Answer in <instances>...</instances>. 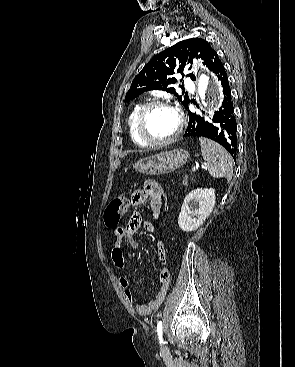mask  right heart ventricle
Wrapping results in <instances>:
<instances>
[{
    "mask_svg": "<svg viewBox=\"0 0 295 367\" xmlns=\"http://www.w3.org/2000/svg\"><path fill=\"white\" fill-rule=\"evenodd\" d=\"M144 106L143 103H137L130 111L127 119V125H128V132L130 135L131 140L139 147H147L148 145L144 143L138 136L136 131V120L137 116L141 110V108Z\"/></svg>",
    "mask_w": 295,
    "mask_h": 367,
    "instance_id": "1",
    "label": "right heart ventricle"
}]
</instances>
